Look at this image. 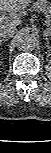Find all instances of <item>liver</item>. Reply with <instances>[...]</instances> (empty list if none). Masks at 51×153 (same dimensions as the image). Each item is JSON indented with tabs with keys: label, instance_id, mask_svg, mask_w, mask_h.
<instances>
[{
	"label": "liver",
	"instance_id": "obj_1",
	"mask_svg": "<svg viewBox=\"0 0 51 153\" xmlns=\"http://www.w3.org/2000/svg\"><path fill=\"white\" fill-rule=\"evenodd\" d=\"M33 0H0V10L1 11H7V12H17L22 9L27 8L30 6V3H32ZM22 23L19 19H12V20H1V24H14V25H20Z\"/></svg>",
	"mask_w": 51,
	"mask_h": 153
}]
</instances>
